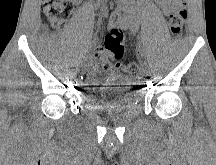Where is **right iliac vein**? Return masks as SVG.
I'll return each mask as SVG.
<instances>
[{
	"instance_id": "63e3f726",
	"label": "right iliac vein",
	"mask_w": 216,
	"mask_h": 165,
	"mask_svg": "<svg viewBox=\"0 0 216 165\" xmlns=\"http://www.w3.org/2000/svg\"><path fill=\"white\" fill-rule=\"evenodd\" d=\"M80 66H81L82 69H85V68H86V65H85V64L80 63Z\"/></svg>"
}]
</instances>
